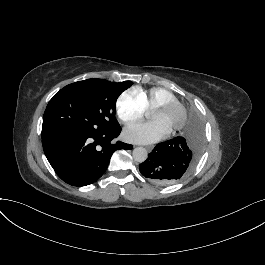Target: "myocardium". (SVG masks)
<instances>
[{
	"instance_id": "f54148a6",
	"label": "myocardium",
	"mask_w": 265,
	"mask_h": 265,
	"mask_svg": "<svg viewBox=\"0 0 265 265\" xmlns=\"http://www.w3.org/2000/svg\"><path fill=\"white\" fill-rule=\"evenodd\" d=\"M173 106H177L179 108L180 115H179L178 119L168 129L170 132L179 130L184 126L186 119H187V109L184 106V104H182L181 102H179L176 99H170V100H164V101L158 103L153 108V111H158V110H166V109L173 107Z\"/></svg>"
}]
</instances>
